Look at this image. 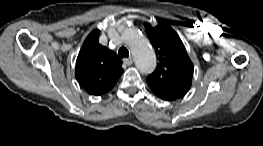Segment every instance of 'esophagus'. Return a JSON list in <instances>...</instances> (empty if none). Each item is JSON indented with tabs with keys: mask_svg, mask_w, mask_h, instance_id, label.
<instances>
[{
	"mask_svg": "<svg viewBox=\"0 0 263 146\" xmlns=\"http://www.w3.org/2000/svg\"><path fill=\"white\" fill-rule=\"evenodd\" d=\"M123 62L126 65H131V64H133V58L132 57L126 58V59L123 60Z\"/></svg>",
	"mask_w": 263,
	"mask_h": 146,
	"instance_id": "1",
	"label": "esophagus"
}]
</instances>
